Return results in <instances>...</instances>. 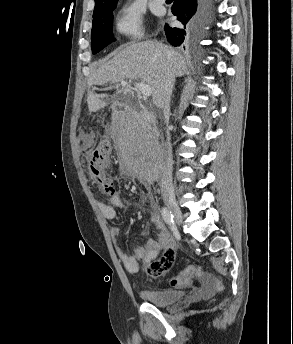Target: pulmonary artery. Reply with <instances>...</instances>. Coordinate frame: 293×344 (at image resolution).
Wrapping results in <instances>:
<instances>
[{"label":"pulmonary artery","mask_w":293,"mask_h":344,"mask_svg":"<svg viewBox=\"0 0 293 344\" xmlns=\"http://www.w3.org/2000/svg\"><path fill=\"white\" fill-rule=\"evenodd\" d=\"M151 1L156 4H163L165 2V0H151Z\"/></svg>","instance_id":"1"}]
</instances>
